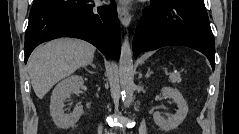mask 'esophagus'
I'll return each mask as SVG.
<instances>
[{
	"label": "esophagus",
	"mask_w": 239,
	"mask_h": 134,
	"mask_svg": "<svg viewBox=\"0 0 239 134\" xmlns=\"http://www.w3.org/2000/svg\"><path fill=\"white\" fill-rule=\"evenodd\" d=\"M117 14H118V18H119L120 22L124 26H128L130 24L131 16L125 7H123L122 5H118Z\"/></svg>",
	"instance_id": "esophagus-1"
}]
</instances>
